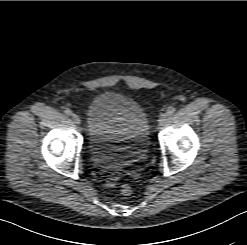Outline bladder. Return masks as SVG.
Here are the masks:
<instances>
[{"instance_id": "bladder-1", "label": "bladder", "mask_w": 247, "mask_h": 245, "mask_svg": "<svg viewBox=\"0 0 247 245\" xmlns=\"http://www.w3.org/2000/svg\"><path fill=\"white\" fill-rule=\"evenodd\" d=\"M87 127L91 155L100 167H131L148 150V118L126 95L108 91L95 97L87 109Z\"/></svg>"}]
</instances>
